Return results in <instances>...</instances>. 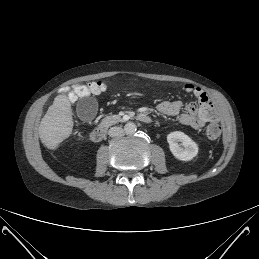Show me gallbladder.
I'll use <instances>...</instances> for the list:
<instances>
[{
	"label": "gallbladder",
	"mask_w": 259,
	"mask_h": 259,
	"mask_svg": "<svg viewBox=\"0 0 259 259\" xmlns=\"http://www.w3.org/2000/svg\"><path fill=\"white\" fill-rule=\"evenodd\" d=\"M97 108L96 100L91 98L81 100L77 106V110L80 112L81 118L85 121H90L94 118Z\"/></svg>",
	"instance_id": "1"
}]
</instances>
